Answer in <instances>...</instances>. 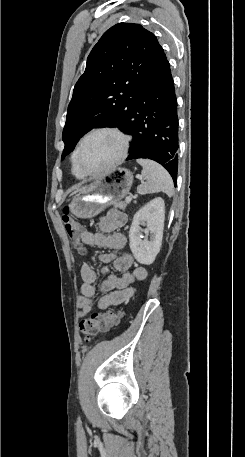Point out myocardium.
Returning a JSON list of instances; mask_svg holds the SVG:
<instances>
[{
  "instance_id": "obj_1",
  "label": "myocardium",
  "mask_w": 245,
  "mask_h": 457,
  "mask_svg": "<svg viewBox=\"0 0 245 457\" xmlns=\"http://www.w3.org/2000/svg\"><path fill=\"white\" fill-rule=\"evenodd\" d=\"M104 132L111 133L120 139L121 144H120L119 153L116 156V158L109 165L105 166L104 168L94 171V172L88 171L81 163L82 150H83L87 140L91 136L98 134V133H104ZM128 149H129V138L121 130H119L116 127H109V126L97 127V128L92 129L91 131H89L81 140V142L77 148L76 154H75L76 163H77V166L79 167L80 171L85 176L95 177V176L101 175V174L115 168L127 156Z\"/></svg>"
}]
</instances>
